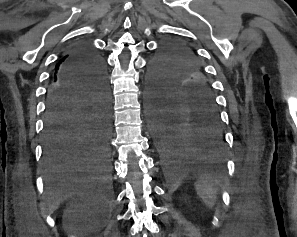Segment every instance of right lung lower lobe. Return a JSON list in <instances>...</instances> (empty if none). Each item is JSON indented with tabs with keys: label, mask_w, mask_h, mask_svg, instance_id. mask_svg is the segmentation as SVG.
Returning <instances> with one entry per match:
<instances>
[{
	"label": "right lung lower lobe",
	"mask_w": 297,
	"mask_h": 237,
	"mask_svg": "<svg viewBox=\"0 0 297 237\" xmlns=\"http://www.w3.org/2000/svg\"><path fill=\"white\" fill-rule=\"evenodd\" d=\"M47 91L43 162L50 175L110 171V98L100 56L78 43Z\"/></svg>",
	"instance_id": "right-lung-lower-lobe-1"
}]
</instances>
